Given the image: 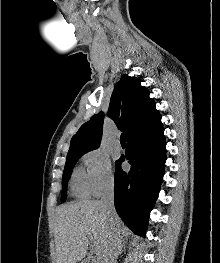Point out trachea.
<instances>
[{"label":"trachea","instance_id":"trachea-1","mask_svg":"<svg viewBox=\"0 0 220 263\" xmlns=\"http://www.w3.org/2000/svg\"><path fill=\"white\" fill-rule=\"evenodd\" d=\"M120 141H121L122 143H125V142H126V135H125V133H122V134H121Z\"/></svg>","mask_w":220,"mask_h":263}]
</instances>
